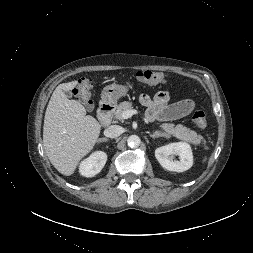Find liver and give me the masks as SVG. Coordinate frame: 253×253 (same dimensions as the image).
I'll return each mask as SVG.
<instances>
[{"instance_id": "6515ba94", "label": "liver", "mask_w": 253, "mask_h": 253, "mask_svg": "<svg viewBox=\"0 0 253 253\" xmlns=\"http://www.w3.org/2000/svg\"><path fill=\"white\" fill-rule=\"evenodd\" d=\"M77 81L59 84L48 103L43 126V146L52 165L63 175H72L80 162L94 147L101 125L64 91Z\"/></svg>"}]
</instances>
